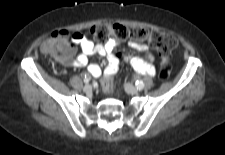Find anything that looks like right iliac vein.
Listing matches in <instances>:
<instances>
[{"mask_svg": "<svg viewBox=\"0 0 225 155\" xmlns=\"http://www.w3.org/2000/svg\"><path fill=\"white\" fill-rule=\"evenodd\" d=\"M83 90H84V92L89 93L92 91V86L87 84L84 86Z\"/></svg>", "mask_w": 225, "mask_h": 155, "instance_id": "right-iliac-vein-1", "label": "right iliac vein"}]
</instances>
